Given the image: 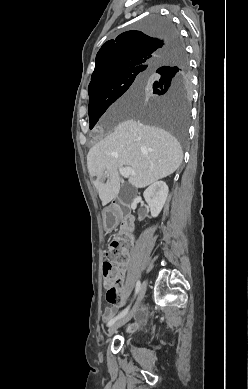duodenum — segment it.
Returning a JSON list of instances; mask_svg holds the SVG:
<instances>
[{"label": "duodenum", "instance_id": "duodenum-1", "mask_svg": "<svg viewBox=\"0 0 248 389\" xmlns=\"http://www.w3.org/2000/svg\"><path fill=\"white\" fill-rule=\"evenodd\" d=\"M106 213H113L114 219L113 220H106L105 214ZM104 222L107 226L108 230H113L116 227L118 219L121 220V226L126 234H130L134 229V221L135 217L130 212H125L123 210L122 205L116 200L114 201L113 205L105 211L103 215Z\"/></svg>", "mask_w": 248, "mask_h": 389}]
</instances>
